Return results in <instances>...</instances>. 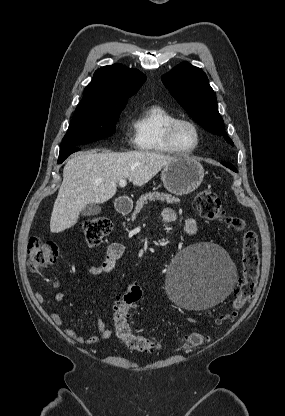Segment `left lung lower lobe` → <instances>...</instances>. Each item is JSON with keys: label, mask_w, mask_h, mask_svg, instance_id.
Masks as SVG:
<instances>
[{"label": "left lung lower lobe", "mask_w": 285, "mask_h": 416, "mask_svg": "<svg viewBox=\"0 0 285 416\" xmlns=\"http://www.w3.org/2000/svg\"><path fill=\"white\" fill-rule=\"evenodd\" d=\"M221 164L222 165H224L225 167H227V168H229V169H231L232 171H234V172H238L237 171V169L231 164V163H228V162H221Z\"/></svg>", "instance_id": "1"}]
</instances>
